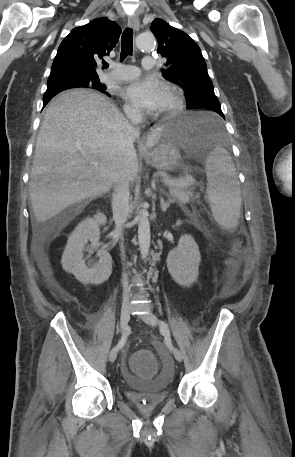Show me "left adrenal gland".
Listing matches in <instances>:
<instances>
[{
	"mask_svg": "<svg viewBox=\"0 0 295 457\" xmlns=\"http://www.w3.org/2000/svg\"><path fill=\"white\" fill-rule=\"evenodd\" d=\"M170 203H171V200H168L165 202L163 198H160V204H161L162 210L165 211L170 206Z\"/></svg>",
	"mask_w": 295,
	"mask_h": 457,
	"instance_id": "left-adrenal-gland-1",
	"label": "left adrenal gland"
}]
</instances>
